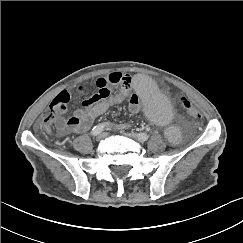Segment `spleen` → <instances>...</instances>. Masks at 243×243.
Masks as SVG:
<instances>
[{
    "label": "spleen",
    "instance_id": "spleen-1",
    "mask_svg": "<svg viewBox=\"0 0 243 243\" xmlns=\"http://www.w3.org/2000/svg\"><path fill=\"white\" fill-rule=\"evenodd\" d=\"M132 87L144 103L149 118L155 124L163 125L170 120L171 112L163 94L148 75H137L133 79ZM163 136L168 143L176 144L183 139L184 131L179 124L171 123L164 128Z\"/></svg>",
    "mask_w": 243,
    "mask_h": 243
}]
</instances>
